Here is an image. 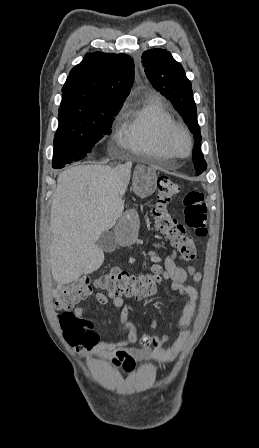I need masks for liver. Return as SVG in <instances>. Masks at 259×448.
I'll list each match as a JSON object with an SVG mask.
<instances>
[{"label": "liver", "mask_w": 259, "mask_h": 448, "mask_svg": "<svg viewBox=\"0 0 259 448\" xmlns=\"http://www.w3.org/2000/svg\"><path fill=\"white\" fill-rule=\"evenodd\" d=\"M132 162L123 166H76L61 172L51 204V272L57 284H71L104 262L95 246L124 212L119 192L130 180Z\"/></svg>", "instance_id": "1"}]
</instances>
